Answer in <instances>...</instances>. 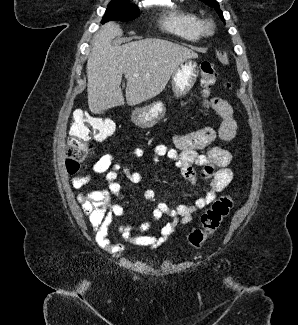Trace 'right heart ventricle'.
<instances>
[{
	"label": "right heart ventricle",
	"instance_id": "obj_1",
	"mask_svg": "<svg viewBox=\"0 0 298 325\" xmlns=\"http://www.w3.org/2000/svg\"><path fill=\"white\" fill-rule=\"evenodd\" d=\"M163 30L186 42H197L203 36L202 22L199 16L187 9L177 8L162 18Z\"/></svg>",
	"mask_w": 298,
	"mask_h": 325
}]
</instances>
